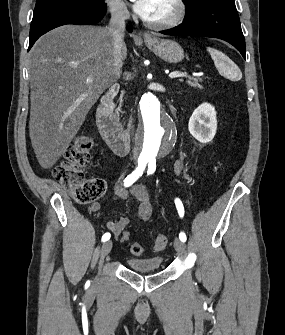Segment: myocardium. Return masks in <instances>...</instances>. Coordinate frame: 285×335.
I'll return each mask as SVG.
<instances>
[{
  "instance_id": "myocardium-1",
  "label": "myocardium",
  "mask_w": 285,
  "mask_h": 335,
  "mask_svg": "<svg viewBox=\"0 0 285 335\" xmlns=\"http://www.w3.org/2000/svg\"><path fill=\"white\" fill-rule=\"evenodd\" d=\"M174 8L173 16L160 23H147V26L153 30L161 31L166 30L178 25L186 15V5L184 1H170Z\"/></svg>"
}]
</instances>
